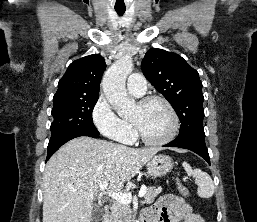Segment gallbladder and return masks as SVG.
<instances>
[{"label": "gallbladder", "mask_w": 257, "mask_h": 222, "mask_svg": "<svg viewBox=\"0 0 257 222\" xmlns=\"http://www.w3.org/2000/svg\"><path fill=\"white\" fill-rule=\"evenodd\" d=\"M103 218V209L99 206H95L92 211V221L98 222Z\"/></svg>", "instance_id": "1"}]
</instances>
